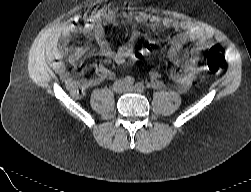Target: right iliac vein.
Wrapping results in <instances>:
<instances>
[{
    "mask_svg": "<svg viewBox=\"0 0 251 192\" xmlns=\"http://www.w3.org/2000/svg\"><path fill=\"white\" fill-rule=\"evenodd\" d=\"M114 90L116 91V92H120V91H122V90H124V82L123 81H118V82H116L115 84H114Z\"/></svg>",
    "mask_w": 251,
    "mask_h": 192,
    "instance_id": "1",
    "label": "right iliac vein"
}]
</instances>
